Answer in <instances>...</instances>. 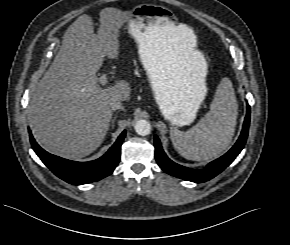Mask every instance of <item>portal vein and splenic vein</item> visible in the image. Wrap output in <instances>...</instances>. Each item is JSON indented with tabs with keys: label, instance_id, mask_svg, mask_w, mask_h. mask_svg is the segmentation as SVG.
<instances>
[{
	"label": "portal vein and splenic vein",
	"instance_id": "obj_1",
	"mask_svg": "<svg viewBox=\"0 0 290 245\" xmlns=\"http://www.w3.org/2000/svg\"><path fill=\"white\" fill-rule=\"evenodd\" d=\"M107 82H108V79H107V76H106V75H102V76L99 77V83H100L102 86L106 85Z\"/></svg>",
	"mask_w": 290,
	"mask_h": 245
}]
</instances>
